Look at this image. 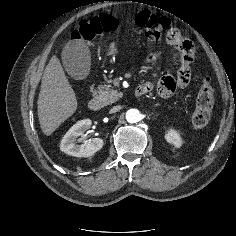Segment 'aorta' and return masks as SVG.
<instances>
[{"label":"aorta","instance_id":"762f6f07","mask_svg":"<svg viewBox=\"0 0 236 236\" xmlns=\"http://www.w3.org/2000/svg\"><path fill=\"white\" fill-rule=\"evenodd\" d=\"M141 114L137 109H129L126 112V120L129 123H136L140 120Z\"/></svg>","mask_w":236,"mask_h":236}]
</instances>
